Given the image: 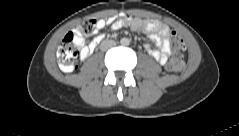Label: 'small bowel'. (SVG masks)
Returning a JSON list of instances; mask_svg holds the SVG:
<instances>
[{
    "instance_id": "1",
    "label": "small bowel",
    "mask_w": 239,
    "mask_h": 136,
    "mask_svg": "<svg viewBox=\"0 0 239 136\" xmlns=\"http://www.w3.org/2000/svg\"><path fill=\"white\" fill-rule=\"evenodd\" d=\"M106 24L107 22L105 20H98L96 33L97 31L103 29ZM126 24L130 25L132 29L146 34L158 46L159 49H155L150 45H145V49L158 63L164 65L171 55L169 27L166 24L156 20L120 17L111 22V29L118 30ZM102 39L103 36L101 34H97L91 41H87L84 38L79 37L78 40L81 44V58H88L102 41Z\"/></svg>"
}]
</instances>
